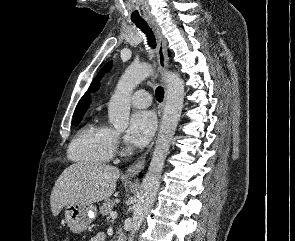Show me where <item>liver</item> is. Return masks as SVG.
I'll use <instances>...</instances> for the list:
<instances>
[{"instance_id":"1","label":"liver","mask_w":295,"mask_h":241,"mask_svg":"<svg viewBox=\"0 0 295 241\" xmlns=\"http://www.w3.org/2000/svg\"><path fill=\"white\" fill-rule=\"evenodd\" d=\"M120 170L99 163H75L59 176L50 196L51 211L57 216L69 204H87L108 199L116 189Z\"/></svg>"}]
</instances>
